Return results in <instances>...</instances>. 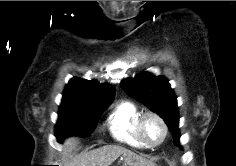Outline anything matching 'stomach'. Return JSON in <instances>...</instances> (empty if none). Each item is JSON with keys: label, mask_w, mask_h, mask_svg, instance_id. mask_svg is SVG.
Listing matches in <instances>:
<instances>
[{"label": "stomach", "mask_w": 236, "mask_h": 166, "mask_svg": "<svg viewBox=\"0 0 236 166\" xmlns=\"http://www.w3.org/2000/svg\"><path fill=\"white\" fill-rule=\"evenodd\" d=\"M127 159H126V157H124V164H126V165H124V166H131L129 163H127ZM153 166H155V165H153Z\"/></svg>", "instance_id": "stomach-1"}]
</instances>
